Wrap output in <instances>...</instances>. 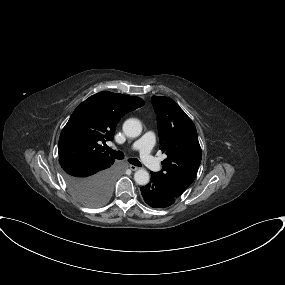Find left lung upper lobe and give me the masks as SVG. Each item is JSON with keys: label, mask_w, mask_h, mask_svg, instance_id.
Masks as SVG:
<instances>
[{"label": "left lung upper lobe", "mask_w": 285, "mask_h": 285, "mask_svg": "<svg viewBox=\"0 0 285 285\" xmlns=\"http://www.w3.org/2000/svg\"><path fill=\"white\" fill-rule=\"evenodd\" d=\"M152 104L157 114L160 150L167 154L157 174L181 195L194 181L201 162L197 131L171 98L152 96Z\"/></svg>", "instance_id": "left-lung-upper-lobe-1"}]
</instances>
